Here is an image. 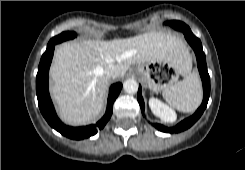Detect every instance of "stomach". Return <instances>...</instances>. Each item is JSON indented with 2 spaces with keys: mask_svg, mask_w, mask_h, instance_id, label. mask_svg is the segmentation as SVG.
Returning a JSON list of instances; mask_svg holds the SVG:
<instances>
[{
  "mask_svg": "<svg viewBox=\"0 0 245 170\" xmlns=\"http://www.w3.org/2000/svg\"><path fill=\"white\" fill-rule=\"evenodd\" d=\"M135 74L152 92H160L174 84L180 72L172 61L163 60L139 64L135 68Z\"/></svg>",
  "mask_w": 245,
  "mask_h": 170,
  "instance_id": "0dacf381",
  "label": "stomach"
}]
</instances>
